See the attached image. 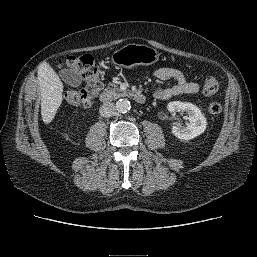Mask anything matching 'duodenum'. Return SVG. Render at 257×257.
<instances>
[{"label":"duodenum","instance_id":"duodenum-1","mask_svg":"<svg viewBox=\"0 0 257 257\" xmlns=\"http://www.w3.org/2000/svg\"><path fill=\"white\" fill-rule=\"evenodd\" d=\"M131 97L138 103L144 104L146 102V97L141 91H134L131 93ZM100 101L102 103H107L109 101V96L107 94L100 95Z\"/></svg>","mask_w":257,"mask_h":257}]
</instances>
